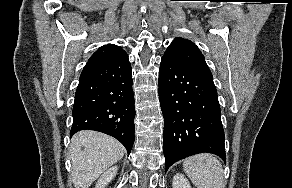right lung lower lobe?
<instances>
[{
    "label": "right lung lower lobe",
    "mask_w": 292,
    "mask_h": 188,
    "mask_svg": "<svg viewBox=\"0 0 292 188\" xmlns=\"http://www.w3.org/2000/svg\"><path fill=\"white\" fill-rule=\"evenodd\" d=\"M134 118L128 55L89 59L75 94L70 136L84 129L100 131L118 139L129 154L134 142Z\"/></svg>",
    "instance_id": "98d812e1"
}]
</instances>
